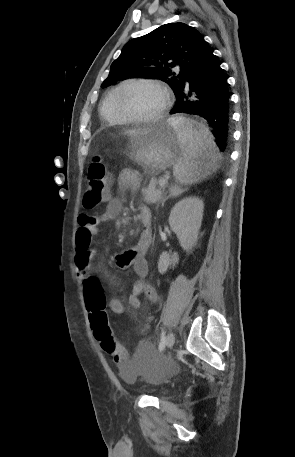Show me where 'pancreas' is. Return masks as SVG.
I'll return each instance as SVG.
<instances>
[{
	"label": "pancreas",
	"mask_w": 295,
	"mask_h": 457,
	"mask_svg": "<svg viewBox=\"0 0 295 457\" xmlns=\"http://www.w3.org/2000/svg\"><path fill=\"white\" fill-rule=\"evenodd\" d=\"M143 198L146 203H160L164 196V187L159 185V181L151 179L147 188L142 190Z\"/></svg>",
	"instance_id": "cf45deb5"
}]
</instances>
